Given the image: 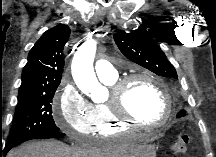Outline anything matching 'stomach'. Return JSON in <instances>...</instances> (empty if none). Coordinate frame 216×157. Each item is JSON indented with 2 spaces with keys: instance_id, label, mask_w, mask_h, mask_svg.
Returning a JSON list of instances; mask_svg holds the SVG:
<instances>
[{
  "instance_id": "1",
  "label": "stomach",
  "mask_w": 216,
  "mask_h": 157,
  "mask_svg": "<svg viewBox=\"0 0 216 157\" xmlns=\"http://www.w3.org/2000/svg\"><path fill=\"white\" fill-rule=\"evenodd\" d=\"M156 150L153 145H144L141 152L136 157H155Z\"/></svg>"
}]
</instances>
